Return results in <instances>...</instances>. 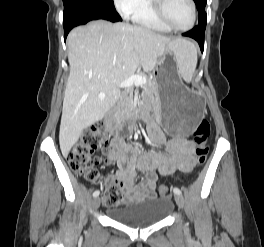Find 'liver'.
<instances>
[{
	"label": "liver",
	"mask_w": 264,
	"mask_h": 247,
	"mask_svg": "<svg viewBox=\"0 0 264 247\" xmlns=\"http://www.w3.org/2000/svg\"><path fill=\"white\" fill-rule=\"evenodd\" d=\"M170 41L147 28L128 23L93 21L68 35L69 77L65 89L59 143L63 156L84 129L101 120L120 96V83L142 66L152 71ZM100 93L105 94L99 99Z\"/></svg>",
	"instance_id": "6515ba94"
}]
</instances>
